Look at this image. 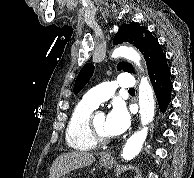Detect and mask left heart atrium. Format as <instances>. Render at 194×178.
<instances>
[{"mask_svg":"<svg viewBox=\"0 0 194 178\" xmlns=\"http://www.w3.org/2000/svg\"><path fill=\"white\" fill-rule=\"evenodd\" d=\"M130 124V116L126 108L120 104H115L105 120V131L108 136H118L125 132Z\"/></svg>","mask_w":194,"mask_h":178,"instance_id":"obj_1","label":"left heart atrium"}]
</instances>
